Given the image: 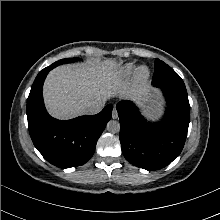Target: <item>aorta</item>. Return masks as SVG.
Listing matches in <instances>:
<instances>
[{
  "label": "aorta",
  "instance_id": "obj_1",
  "mask_svg": "<svg viewBox=\"0 0 220 220\" xmlns=\"http://www.w3.org/2000/svg\"><path fill=\"white\" fill-rule=\"evenodd\" d=\"M106 128L111 133H118L120 131V123L116 120H111L107 123Z\"/></svg>",
  "mask_w": 220,
  "mask_h": 220
}]
</instances>
